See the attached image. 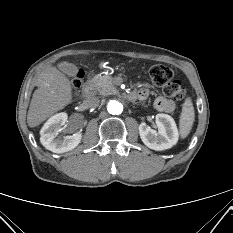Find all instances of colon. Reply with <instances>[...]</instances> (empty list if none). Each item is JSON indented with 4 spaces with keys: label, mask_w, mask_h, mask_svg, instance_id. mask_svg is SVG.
<instances>
[{
    "label": "colon",
    "mask_w": 233,
    "mask_h": 233,
    "mask_svg": "<svg viewBox=\"0 0 233 233\" xmlns=\"http://www.w3.org/2000/svg\"><path fill=\"white\" fill-rule=\"evenodd\" d=\"M149 76L155 85L162 87L166 97L176 101L184 99L185 89L178 80L173 79V72L169 67L162 64L152 65L149 69ZM81 86L82 75L79 73L77 77L73 79V87L76 93L80 90Z\"/></svg>",
    "instance_id": "5ec220e1"
}]
</instances>
